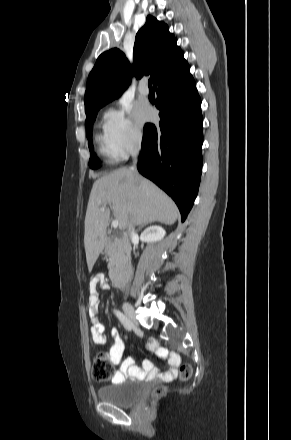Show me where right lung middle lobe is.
Listing matches in <instances>:
<instances>
[{
    "label": "right lung middle lobe",
    "mask_w": 291,
    "mask_h": 440,
    "mask_svg": "<svg viewBox=\"0 0 291 440\" xmlns=\"http://www.w3.org/2000/svg\"><path fill=\"white\" fill-rule=\"evenodd\" d=\"M102 106L96 107L92 110H90L89 112L86 113V135H87V139H88V146H89V150H90V160H89V167L92 169L98 168L99 166L97 165V157L96 154L93 151V143H92V124L95 120L97 111L101 108Z\"/></svg>",
    "instance_id": "right-lung-middle-lobe-1"
}]
</instances>
